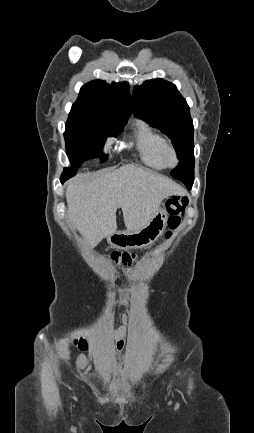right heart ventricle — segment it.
Instances as JSON below:
<instances>
[{"instance_id": "right-heart-ventricle-1", "label": "right heart ventricle", "mask_w": 254, "mask_h": 433, "mask_svg": "<svg viewBox=\"0 0 254 433\" xmlns=\"http://www.w3.org/2000/svg\"><path fill=\"white\" fill-rule=\"evenodd\" d=\"M134 144L141 161L153 169H164L160 151L165 139L145 122H137L133 135Z\"/></svg>"}]
</instances>
